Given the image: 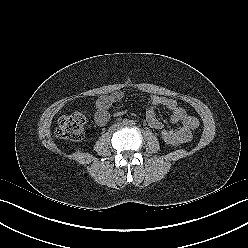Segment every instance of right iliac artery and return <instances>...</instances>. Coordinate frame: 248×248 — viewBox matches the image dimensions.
Masks as SVG:
<instances>
[{
	"label": "right iliac artery",
	"mask_w": 248,
	"mask_h": 248,
	"mask_svg": "<svg viewBox=\"0 0 248 248\" xmlns=\"http://www.w3.org/2000/svg\"><path fill=\"white\" fill-rule=\"evenodd\" d=\"M129 122H130V121H129L128 119H123V121H122V123H123L124 125H127Z\"/></svg>",
	"instance_id": "1"
}]
</instances>
